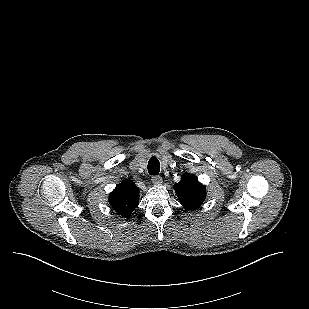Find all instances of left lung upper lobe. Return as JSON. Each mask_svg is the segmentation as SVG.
<instances>
[{"instance_id": "obj_1", "label": "left lung upper lobe", "mask_w": 309, "mask_h": 309, "mask_svg": "<svg viewBox=\"0 0 309 309\" xmlns=\"http://www.w3.org/2000/svg\"><path fill=\"white\" fill-rule=\"evenodd\" d=\"M173 187L179 198V202L186 209H197L205 200V186L194 175L184 174L182 180Z\"/></svg>"}]
</instances>
